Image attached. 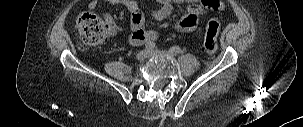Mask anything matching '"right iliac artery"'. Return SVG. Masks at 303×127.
<instances>
[{"label": "right iliac artery", "instance_id": "right-iliac-artery-1", "mask_svg": "<svg viewBox=\"0 0 303 127\" xmlns=\"http://www.w3.org/2000/svg\"><path fill=\"white\" fill-rule=\"evenodd\" d=\"M154 48H155V43H154V42H148V43L145 44V49H146L147 51H151V50H153Z\"/></svg>", "mask_w": 303, "mask_h": 127}]
</instances>
